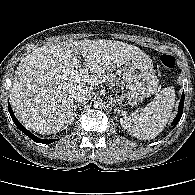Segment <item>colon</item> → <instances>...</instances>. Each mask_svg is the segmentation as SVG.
<instances>
[{
  "instance_id": "colon-1",
  "label": "colon",
  "mask_w": 195,
  "mask_h": 195,
  "mask_svg": "<svg viewBox=\"0 0 195 195\" xmlns=\"http://www.w3.org/2000/svg\"><path fill=\"white\" fill-rule=\"evenodd\" d=\"M160 63L168 70H173L176 67V60L172 55L164 54L160 56Z\"/></svg>"
}]
</instances>
